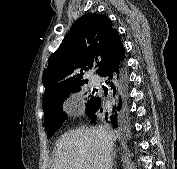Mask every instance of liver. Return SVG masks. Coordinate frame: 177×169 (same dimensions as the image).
Returning a JSON list of instances; mask_svg holds the SVG:
<instances>
[{"mask_svg": "<svg viewBox=\"0 0 177 169\" xmlns=\"http://www.w3.org/2000/svg\"><path fill=\"white\" fill-rule=\"evenodd\" d=\"M112 141L118 135L107 131ZM102 140L96 128H79L63 134L51 169H103Z\"/></svg>", "mask_w": 177, "mask_h": 169, "instance_id": "1", "label": "liver"}]
</instances>
